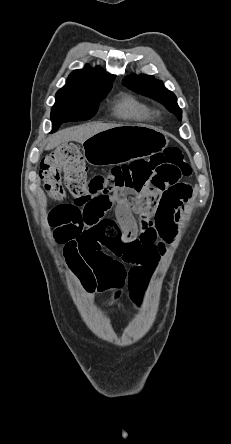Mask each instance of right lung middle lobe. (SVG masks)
I'll list each match as a JSON object with an SVG mask.
<instances>
[{"instance_id":"1","label":"right lung middle lobe","mask_w":231,"mask_h":444,"mask_svg":"<svg viewBox=\"0 0 231 444\" xmlns=\"http://www.w3.org/2000/svg\"><path fill=\"white\" fill-rule=\"evenodd\" d=\"M110 89L98 92L58 91L56 102L51 111L53 131L57 130L63 122L92 118L97 111L98 102L106 96Z\"/></svg>"}]
</instances>
